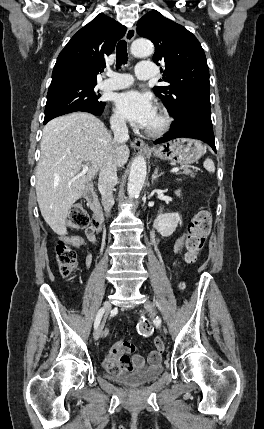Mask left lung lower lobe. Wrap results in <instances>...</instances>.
Returning <instances> with one entry per match:
<instances>
[{
  "instance_id": "left-lung-lower-lobe-1",
  "label": "left lung lower lobe",
  "mask_w": 264,
  "mask_h": 429,
  "mask_svg": "<svg viewBox=\"0 0 264 429\" xmlns=\"http://www.w3.org/2000/svg\"><path fill=\"white\" fill-rule=\"evenodd\" d=\"M194 138L209 144L216 152L211 121L210 104L188 105L178 119L174 118L170 132L156 140L154 144L167 142L175 138Z\"/></svg>"
}]
</instances>
